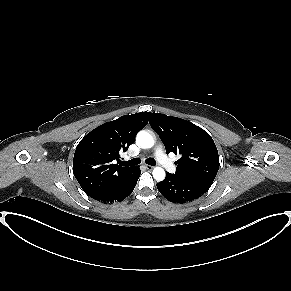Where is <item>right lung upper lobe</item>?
<instances>
[{"label":"right lung upper lobe","mask_w":291,"mask_h":291,"mask_svg":"<svg viewBox=\"0 0 291 291\" xmlns=\"http://www.w3.org/2000/svg\"><path fill=\"white\" fill-rule=\"evenodd\" d=\"M150 112L124 115L88 133L77 145L73 173L84 192L96 198L118 185L136 167L113 164L148 123Z\"/></svg>","instance_id":"1"}]
</instances>
